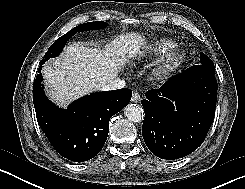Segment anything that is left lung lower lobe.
Segmentation results:
<instances>
[{"label":"left lung lower lobe","instance_id":"0a47b994","mask_svg":"<svg viewBox=\"0 0 245 189\" xmlns=\"http://www.w3.org/2000/svg\"><path fill=\"white\" fill-rule=\"evenodd\" d=\"M145 96L142 135L155 156L175 160L204 142L215 114V71L192 66Z\"/></svg>","mask_w":245,"mask_h":189}]
</instances>
